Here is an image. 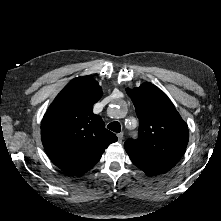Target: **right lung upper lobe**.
Masks as SVG:
<instances>
[{"label":"right lung upper lobe","mask_w":221,"mask_h":221,"mask_svg":"<svg viewBox=\"0 0 221 221\" xmlns=\"http://www.w3.org/2000/svg\"><path fill=\"white\" fill-rule=\"evenodd\" d=\"M102 89L90 76L69 82L54 99L41 124V139L47 155L60 169L100 159L104 150L117 141L105 128L92 106Z\"/></svg>","instance_id":"cb5924a9"}]
</instances>
